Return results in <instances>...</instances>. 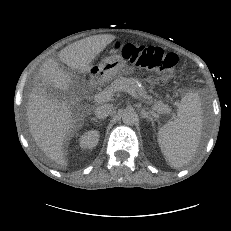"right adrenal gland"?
I'll return each instance as SVG.
<instances>
[{
    "instance_id": "obj_1",
    "label": "right adrenal gland",
    "mask_w": 231,
    "mask_h": 231,
    "mask_svg": "<svg viewBox=\"0 0 231 231\" xmlns=\"http://www.w3.org/2000/svg\"><path fill=\"white\" fill-rule=\"evenodd\" d=\"M91 120L94 121V122H98V123H101V122H102V120H98V119L95 118V117L91 118Z\"/></svg>"
}]
</instances>
